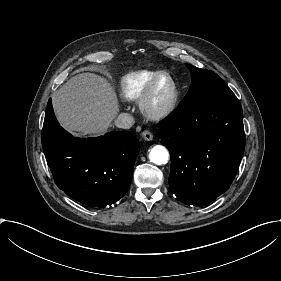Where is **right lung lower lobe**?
Here are the masks:
<instances>
[{
	"instance_id": "1",
	"label": "right lung lower lobe",
	"mask_w": 281,
	"mask_h": 281,
	"mask_svg": "<svg viewBox=\"0 0 281 281\" xmlns=\"http://www.w3.org/2000/svg\"><path fill=\"white\" fill-rule=\"evenodd\" d=\"M42 146L57 186L91 207L115 204L129 189L139 142L129 131L97 138H75L55 118L48 101Z\"/></svg>"
}]
</instances>
